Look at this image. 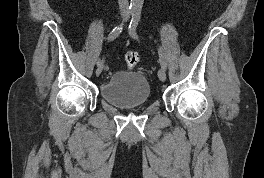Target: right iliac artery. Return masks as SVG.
<instances>
[{"label":"right iliac artery","mask_w":264,"mask_h":178,"mask_svg":"<svg viewBox=\"0 0 264 178\" xmlns=\"http://www.w3.org/2000/svg\"><path fill=\"white\" fill-rule=\"evenodd\" d=\"M132 14V12H129L128 13V16ZM123 27H124V23L122 22L120 25H118L117 27H115L112 32L109 34L108 36V41H113L114 39H116L119 34L122 32L123 30ZM104 61L99 59L98 62H97V65L100 66V65H103Z\"/></svg>","instance_id":"82829eb1"}]
</instances>
